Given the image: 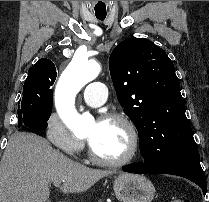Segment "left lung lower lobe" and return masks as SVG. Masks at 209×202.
I'll use <instances>...</instances> for the list:
<instances>
[{
    "instance_id": "1",
    "label": "left lung lower lobe",
    "mask_w": 209,
    "mask_h": 202,
    "mask_svg": "<svg viewBox=\"0 0 209 202\" xmlns=\"http://www.w3.org/2000/svg\"><path fill=\"white\" fill-rule=\"evenodd\" d=\"M135 163L123 168V171L138 174H171L191 180L201 187L206 194L205 174L200 165V157L196 143H189L173 155L169 160L160 163Z\"/></svg>"
}]
</instances>
